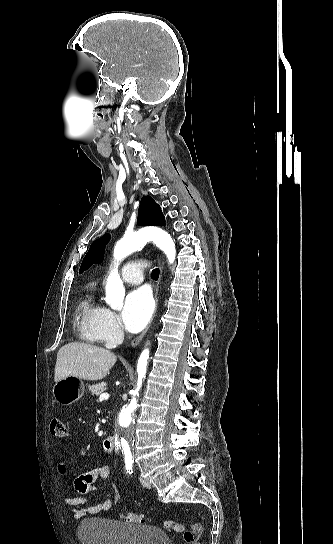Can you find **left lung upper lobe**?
Wrapping results in <instances>:
<instances>
[{"label": "left lung upper lobe", "instance_id": "obj_1", "mask_svg": "<svg viewBox=\"0 0 333 544\" xmlns=\"http://www.w3.org/2000/svg\"><path fill=\"white\" fill-rule=\"evenodd\" d=\"M139 225H165V218L162 214L160 206L149 196L141 199L138 220ZM110 236L104 235L100 239L94 241L90 246L89 251L83 259L80 273L88 269L93 263L100 262L102 260L103 249L105 244L109 241Z\"/></svg>", "mask_w": 333, "mask_h": 544}]
</instances>
